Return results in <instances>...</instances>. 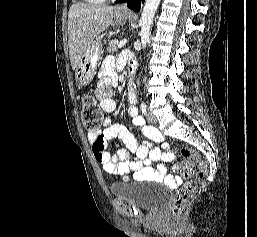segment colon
<instances>
[{
    "mask_svg": "<svg viewBox=\"0 0 257 237\" xmlns=\"http://www.w3.org/2000/svg\"><path fill=\"white\" fill-rule=\"evenodd\" d=\"M81 117L84 127L95 132L100 129L102 124V113L98 101L91 95H87L82 100ZM185 162L174 167V171L188 180L184 186L177 192L176 198L171 208V214L175 218H180L186 205L189 203L191 194L196 189V180L190 179L193 175L196 179H202L206 172V164L200 160L199 153L190 147H183L181 150ZM193 161H199L197 168L194 167Z\"/></svg>",
    "mask_w": 257,
    "mask_h": 237,
    "instance_id": "obj_1",
    "label": "colon"
}]
</instances>
